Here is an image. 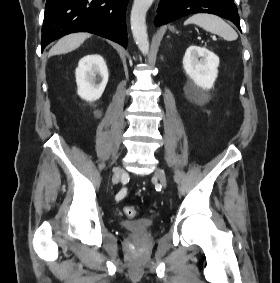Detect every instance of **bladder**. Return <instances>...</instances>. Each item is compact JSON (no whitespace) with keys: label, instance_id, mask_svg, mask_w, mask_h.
I'll use <instances>...</instances> for the list:
<instances>
[{"label":"bladder","instance_id":"bladder-1","mask_svg":"<svg viewBox=\"0 0 280 283\" xmlns=\"http://www.w3.org/2000/svg\"><path fill=\"white\" fill-rule=\"evenodd\" d=\"M120 227L129 233L142 235L150 232L154 227V224L149 219H138L132 221H123L120 223Z\"/></svg>","mask_w":280,"mask_h":283}]
</instances>
